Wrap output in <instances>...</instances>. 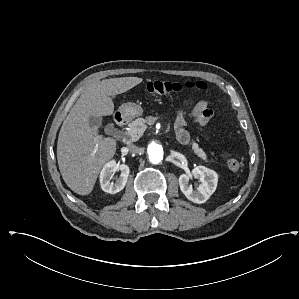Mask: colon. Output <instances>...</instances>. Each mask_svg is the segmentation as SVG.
Segmentation results:
<instances>
[{"label": "colon", "instance_id": "1", "mask_svg": "<svg viewBox=\"0 0 299 299\" xmlns=\"http://www.w3.org/2000/svg\"><path fill=\"white\" fill-rule=\"evenodd\" d=\"M201 89L204 90L206 85L202 82L188 81L185 83L170 82L164 80H152L145 84L144 90L151 95H167L179 93L184 89ZM227 165L231 170H238L241 162L233 157L230 153L226 154Z\"/></svg>", "mask_w": 299, "mask_h": 299}]
</instances>
